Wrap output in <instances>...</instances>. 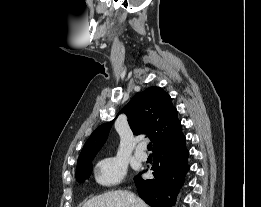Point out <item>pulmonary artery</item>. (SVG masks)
Wrapping results in <instances>:
<instances>
[{
  "mask_svg": "<svg viewBox=\"0 0 261 207\" xmlns=\"http://www.w3.org/2000/svg\"><path fill=\"white\" fill-rule=\"evenodd\" d=\"M145 144H139L138 146H137V148H136V151H135V155H136V157L138 158V159H140V160H146L147 159V154H146V152H145Z\"/></svg>",
  "mask_w": 261,
  "mask_h": 207,
  "instance_id": "obj_1",
  "label": "pulmonary artery"
}]
</instances>
